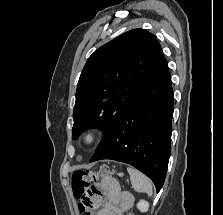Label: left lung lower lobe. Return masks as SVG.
<instances>
[{"instance_id":"left-lung-lower-lobe-1","label":"left lung lower lobe","mask_w":223,"mask_h":215,"mask_svg":"<svg viewBox=\"0 0 223 215\" xmlns=\"http://www.w3.org/2000/svg\"><path fill=\"white\" fill-rule=\"evenodd\" d=\"M173 109L171 76L165 61L90 162L111 159L128 163L151 178L159 192L170 157Z\"/></svg>"}]
</instances>
